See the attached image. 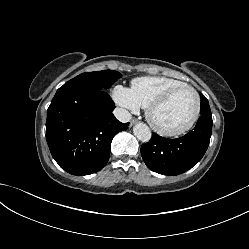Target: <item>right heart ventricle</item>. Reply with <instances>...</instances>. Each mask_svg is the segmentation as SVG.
<instances>
[{"mask_svg":"<svg viewBox=\"0 0 249 249\" xmlns=\"http://www.w3.org/2000/svg\"><path fill=\"white\" fill-rule=\"evenodd\" d=\"M183 84L186 83L174 78L144 76L132 80L131 92L140 107L147 108L151 102L160 97L166 91Z\"/></svg>","mask_w":249,"mask_h":249,"instance_id":"e07e8e85","label":"right heart ventricle"}]
</instances>
